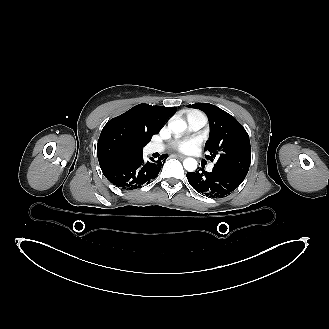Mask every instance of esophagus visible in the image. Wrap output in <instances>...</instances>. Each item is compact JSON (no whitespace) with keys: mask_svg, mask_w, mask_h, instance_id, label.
<instances>
[{"mask_svg":"<svg viewBox=\"0 0 329 329\" xmlns=\"http://www.w3.org/2000/svg\"><path fill=\"white\" fill-rule=\"evenodd\" d=\"M176 157L180 158V159H184L185 156L184 155H180V154H177Z\"/></svg>","mask_w":329,"mask_h":329,"instance_id":"34e87169","label":"esophagus"}]
</instances>
